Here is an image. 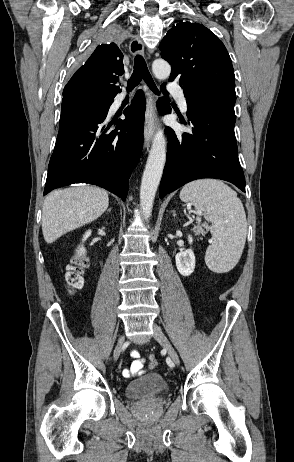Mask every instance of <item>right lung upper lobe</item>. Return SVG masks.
<instances>
[{"mask_svg":"<svg viewBox=\"0 0 294 462\" xmlns=\"http://www.w3.org/2000/svg\"><path fill=\"white\" fill-rule=\"evenodd\" d=\"M122 60L123 54L115 43L98 45L64 87L63 99L77 93L115 96L120 92L117 76L124 73Z\"/></svg>","mask_w":294,"mask_h":462,"instance_id":"obj_1","label":"right lung upper lobe"}]
</instances>
